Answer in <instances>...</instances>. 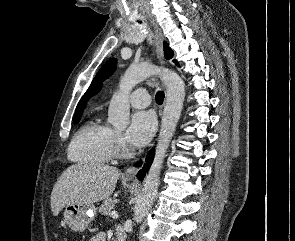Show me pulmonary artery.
Here are the masks:
<instances>
[{
  "instance_id": "e3ab8cb5",
  "label": "pulmonary artery",
  "mask_w": 295,
  "mask_h": 241,
  "mask_svg": "<svg viewBox=\"0 0 295 241\" xmlns=\"http://www.w3.org/2000/svg\"><path fill=\"white\" fill-rule=\"evenodd\" d=\"M128 100L133 107L145 108L150 104L151 97L146 89L139 88L129 95Z\"/></svg>"
}]
</instances>
